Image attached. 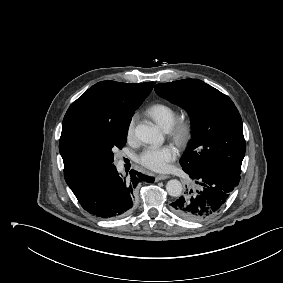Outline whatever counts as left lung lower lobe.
I'll return each mask as SVG.
<instances>
[{"mask_svg":"<svg viewBox=\"0 0 283 283\" xmlns=\"http://www.w3.org/2000/svg\"><path fill=\"white\" fill-rule=\"evenodd\" d=\"M184 171L194 181V189L170 206L174 214L188 221H203L219 212L240 181V174L225 169Z\"/></svg>","mask_w":283,"mask_h":283,"instance_id":"0a47b994","label":"left lung lower lobe"}]
</instances>
